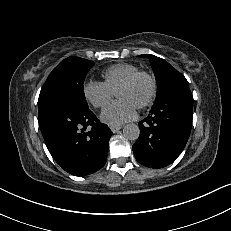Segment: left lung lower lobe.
<instances>
[{"label": "left lung lower lobe", "instance_id": "0a47b994", "mask_svg": "<svg viewBox=\"0 0 231 231\" xmlns=\"http://www.w3.org/2000/svg\"><path fill=\"white\" fill-rule=\"evenodd\" d=\"M192 117L189 87L167 92L139 123L140 136L133 145L136 160L150 168H163L175 161L188 141Z\"/></svg>", "mask_w": 231, "mask_h": 231}]
</instances>
